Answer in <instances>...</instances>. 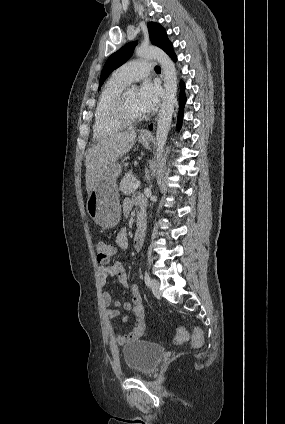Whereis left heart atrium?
<instances>
[{
  "label": "left heart atrium",
  "mask_w": 285,
  "mask_h": 424,
  "mask_svg": "<svg viewBox=\"0 0 285 424\" xmlns=\"http://www.w3.org/2000/svg\"><path fill=\"white\" fill-rule=\"evenodd\" d=\"M160 88L150 81H145L141 85L137 94V107L142 114L153 112L159 103Z\"/></svg>",
  "instance_id": "1"
}]
</instances>
